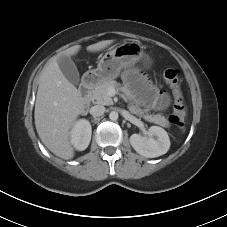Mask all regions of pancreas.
I'll list each match as a JSON object with an SVG mask.
<instances>
[{"label":"pancreas","instance_id":"pancreas-1","mask_svg":"<svg viewBox=\"0 0 227 227\" xmlns=\"http://www.w3.org/2000/svg\"><path fill=\"white\" fill-rule=\"evenodd\" d=\"M111 87L120 89L119 84L114 80H106L98 84L90 93L92 102L101 105H112L113 100L111 96L108 94V89ZM128 108L131 113L136 114L138 116H143L144 119L149 122L158 124L163 127H169L168 120L161 114L144 115L143 111L139 107L135 106L133 103H130Z\"/></svg>","mask_w":227,"mask_h":227}]
</instances>
